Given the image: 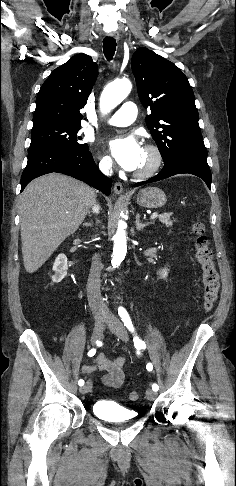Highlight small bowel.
<instances>
[{
    "instance_id": "1",
    "label": "small bowel",
    "mask_w": 236,
    "mask_h": 486,
    "mask_svg": "<svg viewBox=\"0 0 236 486\" xmlns=\"http://www.w3.org/2000/svg\"><path fill=\"white\" fill-rule=\"evenodd\" d=\"M124 364L125 358L118 357L114 361L107 359L104 355L99 354L96 358V362L93 365H84L82 372L85 374L95 371L103 372V382L111 387H119L124 380Z\"/></svg>"
}]
</instances>
